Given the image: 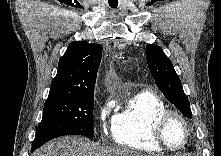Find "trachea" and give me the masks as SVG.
I'll return each mask as SVG.
<instances>
[{"instance_id": "obj_1", "label": "trachea", "mask_w": 221, "mask_h": 156, "mask_svg": "<svg viewBox=\"0 0 221 156\" xmlns=\"http://www.w3.org/2000/svg\"><path fill=\"white\" fill-rule=\"evenodd\" d=\"M115 2H111V0H109V5L112 8H116L118 6V0H114Z\"/></svg>"}]
</instances>
